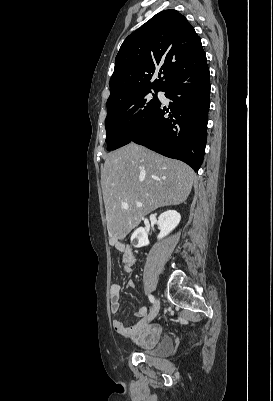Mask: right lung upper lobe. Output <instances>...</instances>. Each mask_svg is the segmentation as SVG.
Segmentation results:
<instances>
[{
    "mask_svg": "<svg viewBox=\"0 0 273 401\" xmlns=\"http://www.w3.org/2000/svg\"><path fill=\"white\" fill-rule=\"evenodd\" d=\"M204 62L201 40L187 19L173 9L159 12L121 45L107 106L142 91L161 90L180 69ZM155 72L159 79L151 82Z\"/></svg>",
    "mask_w": 273,
    "mask_h": 401,
    "instance_id": "right-lung-upper-lobe-1",
    "label": "right lung upper lobe"
}]
</instances>
